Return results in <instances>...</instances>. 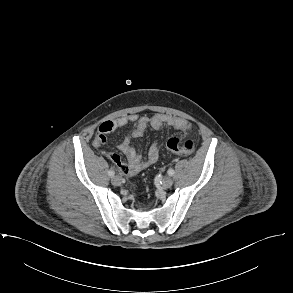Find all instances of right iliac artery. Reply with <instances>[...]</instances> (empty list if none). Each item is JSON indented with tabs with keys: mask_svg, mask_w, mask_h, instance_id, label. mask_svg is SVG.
I'll return each instance as SVG.
<instances>
[{
	"mask_svg": "<svg viewBox=\"0 0 293 293\" xmlns=\"http://www.w3.org/2000/svg\"><path fill=\"white\" fill-rule=\"evenodd\" d=\"M108 175L110 177H113L115 175V172L113 170H109Z\"/></svg>",
	"mask_w": 293,
	"mask_h": 293,
	"instance_id": "82829eb1",
	"label": "right iliac artery"
}]
</instances>
